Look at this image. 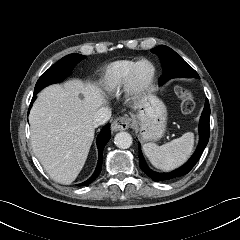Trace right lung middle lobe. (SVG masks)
<instances>
[{
	"label": "right lung middle lobe",
	"instance_id": "dd1d6c3e",
	"mask_svg": "<svg viewBox=\"0 0 240 240\" xmlns=\"http://www.w3.org/2000/svg\"><path fill=\"white\" fill-rule=\"evenodd\" d=\"M84 58H86V56L81 54H69L60 59L39 78L34 93L39 92L43 87L49 84L63 80L71 72L74 66Z\"/></svg>",
	"mask_w": 240,
	"mask_h": 240
}]
</instances>
